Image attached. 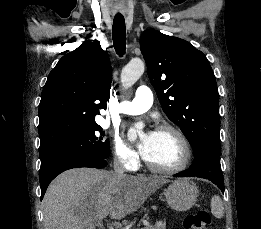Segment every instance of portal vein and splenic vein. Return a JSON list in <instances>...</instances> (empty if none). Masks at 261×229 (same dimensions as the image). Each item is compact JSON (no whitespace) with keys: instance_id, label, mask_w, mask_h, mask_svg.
Listing matches in <instances>:
<instances>
[{"instance_id":"portal-vein-and-splenic-vein-1","label":"portal vein and splenic vein","mask_w":261,"mask_h":229,"mask_svg":"<svg viewBox=\"0 0 261 229\" xmlns=\"http://www.w3.org/2000/svg\"><path fill=\"white\" fill-rule=\"evenodd\" d=\"M152 227V224H149V226H142L141 229H150Z\"/></svg>"}]
</instances>
